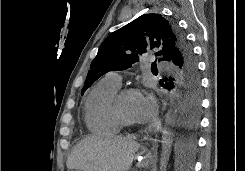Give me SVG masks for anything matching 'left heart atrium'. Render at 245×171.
<instances>
[{
    "label": "left heart atrium",
    "mask_w": 245,
    "mask_h": 171,
    "mask_svg": "<svg viewBox=\"0 0 245 171\" xmlns=\"http://www.w3.org/2000/svg\"><path fill=\"white\" fill-rule=\"evenodd\" d=\"M157 111L155 99L149 95H140L135 112L137 122H147L152 119Z\"/></svg>",
    "instance_id": "left-heart-atrium-1"
}]
</instances>
